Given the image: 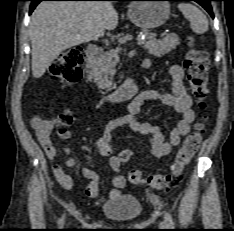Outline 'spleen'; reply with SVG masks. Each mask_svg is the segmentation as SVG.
Returning <instances> with one entry per match:
<instances>
[{"mask_svg": "<svg viewBox=\"0 0 234 231\" xmlns=\"http://www.w3.org/2000/svg\"><path fill=\"white\" fill-rule=\"evenodd\" d=\"M179 10L190 21V27L196 34L205 33L208 30V19L202 11L190 3H180Z\"/></svg>", "mask_w": 234, "mask_h": 231, "instance_id": "3e777b00", "label": "spleen"}]
</instances>
